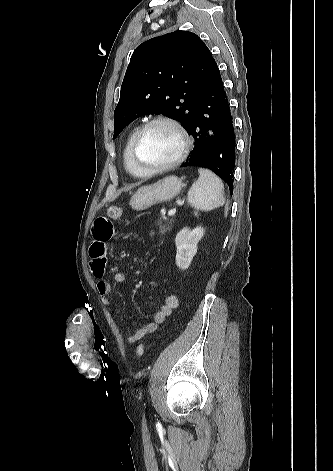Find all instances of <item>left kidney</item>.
Returning a JSON list of instances; mask_svg holds the SVG:
<instances>
[{"label": "left kidney", "instance_id": "5707ae66", "mask_svg": "<svg viewBox=\"0 0 333 471\" xmlns=\"http://www.w3.org/2000/svg\"><path fill=\"white\" fill-rule=\"evenodd\" d=\"M204 232L202 227H196L193 230L183 228L176 235V265L180 269L186 270L190 266L193 257L197 253V244L203 237Z\"/></svg>", "mask_w": 333, "mask_h": 471}]
</instances>
